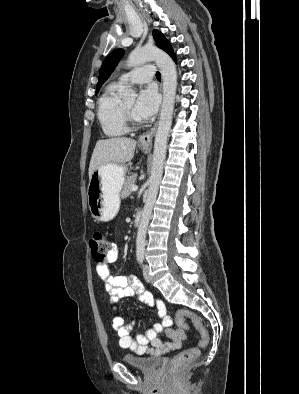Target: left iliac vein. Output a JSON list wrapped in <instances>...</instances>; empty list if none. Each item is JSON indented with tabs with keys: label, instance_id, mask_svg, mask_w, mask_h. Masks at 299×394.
Here are the masks:
<instances>
[{
	"label": "left iliac vein",
	"instance_id": "1",
	"mask_svg": "<svg viewBox=\"0 0 299 394\" xmlns=\"http://www.w3.org/2000/svg\"><path fill=\"white\" fill-rule=\"evenodd\" d=\"M143 276H144V279H145L147 282H150V281H151V277H150V274H149V266H148L147 264H145V265L143 266Z\"/></svg>",
	"mask_w": 299,
	"mask_h": 394
}]
</instances>
